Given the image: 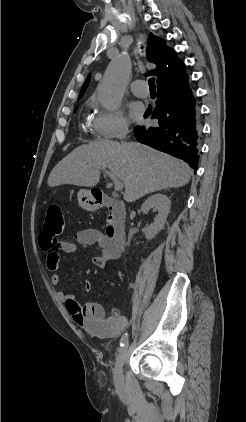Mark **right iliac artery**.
<instances>
[{"label":"right iliac artery","mask_w":246,"mask_h":422,"mask_svg":"<svg viewBox=\"0 0 246 422\" xmlns=\"http://www.w3.org/2000/svg\"><path fill=\"white\" fill-rule=\"evenodd\" d=\"M127 339H128V333H127V332H125V333L122 335L121 340H120V346H121V347L125 345V343L127 342Z\"/></svg>","instance_id":"obj_1"}]
</instances>
